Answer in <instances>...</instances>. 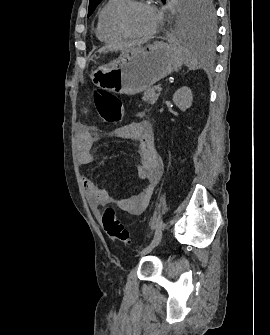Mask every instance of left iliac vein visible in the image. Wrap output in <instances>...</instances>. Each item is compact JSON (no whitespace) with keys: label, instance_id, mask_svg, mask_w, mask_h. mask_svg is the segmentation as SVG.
<instances>
[{"label":"left iliac vein","instance_id":"left-iliac-vein-1","mask_svg":"<svg viewBox=\"0 0 270 335\" xmlns=\"http://www.w3.org/2000/svg\"><path fill=\"white\" fill-rule=\"evenodd\" d=\"M156 245H148L146 246L145 248L142 249V251L140 252L141 255H146L148 253H150L154 248H155Z\"/></svg>","mask_w":270,"mask_h":335}]
</instances>
